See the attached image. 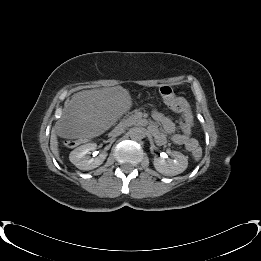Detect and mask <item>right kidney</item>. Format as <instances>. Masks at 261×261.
<instances>
[{"label": "right kidney", "instance_id": "1", "mask_svg": "<svg viewBox=\"0 0 261 261\" xmlns=\"http://www.w3.org/2000/svg\"><path fill=\"white\" fill-rule=\"evenodd\" d=\"M97 149L98 146L96 143L81 145L70 153L69 159L77 168L81 170L96 168L102 164L103 159L98 157L91 158L89 155H92L93 157L97 156L99 154Z\"/></svg>", "mask_w": 261, "mask_h": 261}]
</instances>
